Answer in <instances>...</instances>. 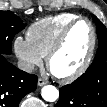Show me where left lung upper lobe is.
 I'll return each instance as SVG.
<instances>
[{
	"instance_id": "obj_1",
	"label": "left lung upper lobe",
	"mask_w": 107,
	"mask_h": 107,
	"mask_svg": "<svg viewBox=\"0 0 107 107\" xmlns=\"http://www.w3.org/2000/svg\"><path fill=\"white\" fill-rule=\"evenodd\" d=\"M92 17L97 26V34H98V39H99L98 51L102 50L105 53V61L107 64V29L95 15H93ZM76 81L88 82L89 81V68L87 69L85 74L79 77Z\"/></svg>"
}]
</instances>
